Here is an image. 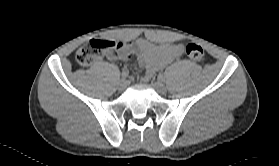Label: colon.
<instances>
[{
    "label": "colon",
    "mask_w": 279,
    "mask_h": 166,
    "mask_svg": "<svg viewBox=\"0 0 279 166\" xmlns=\"http://www.w3.org/2000/svg\"><path fill=\"white\" fill-rule=\"evenodd\" d=\"M124 48L125 44L121 42L117 43L107 39H94L78 49L76 52V61L81 66H90L104 55L118 53ZM185 53L194 62L199 63L204 60V50L195 43L187 44L185 46Z\"/></svg>",
    "instance_id": "colon-1"
}]
</instances>
